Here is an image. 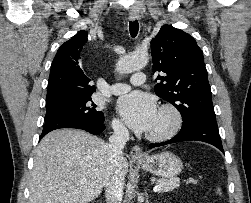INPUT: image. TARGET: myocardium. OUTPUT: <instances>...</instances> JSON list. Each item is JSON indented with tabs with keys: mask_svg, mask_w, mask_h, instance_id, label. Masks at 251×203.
Instances as JSON below:
<instances>
[{
	"mask_svg": "<svg viewBox=\"0 0 251 203\" xmlns=\"http://www.w3.org/2000/svg\"><path fill=\"white\" fill-rule=\"evenodd\" d=\"M158 113L167 115L170 123L168 127L162 131L149 132L147 138L152 141H165L174 137L179 132L183 119L181 112L171 104L162 105Z\"/></svg>",
	"mask_w": 251,
	"mask_h": 203,
	"instance_id": "f54148a6",
	"label": "myocardium"
}]
</instances>
